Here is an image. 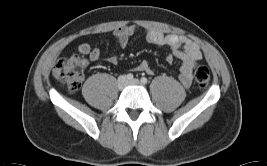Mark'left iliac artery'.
<instances>
[{
  "label": "left iliac artery",
  "instance_id": "44dca946",
  "mask_svg": "<svg viewBox=\"0 0 267 166\" xmlns=\"http://www.w3.org/2000/svg\"><path fill=\"white\" fill-rule=\"evenodd\" d=\"M141 83L146 84L147 83V79L145 77H142L141 78Z\"/></svg>",
  "mask_w": 267,
  "mask_h": 166
}]
</instances>
